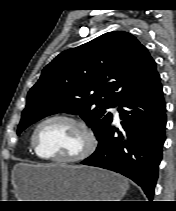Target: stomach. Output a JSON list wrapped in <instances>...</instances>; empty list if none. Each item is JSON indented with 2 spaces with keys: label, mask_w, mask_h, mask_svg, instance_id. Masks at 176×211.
Listing matches in <instances>:
<instances>
[{
  "label": "stomach",
  "mask_w": 176,
  "mask_h": 211,
  "mask_svg": "<svg viewBox=\"0 0 176 211\" xmlns=\"http://www.w3.org/2000/svg\"><path fill=\"white\" fill-rule=\"evenodd\" d=\"M12 183L19 201H120L128 189L119 174L66 164H19Z\"/></svg>",
  "instance_id": "0dacf381"
}]
</instances>
